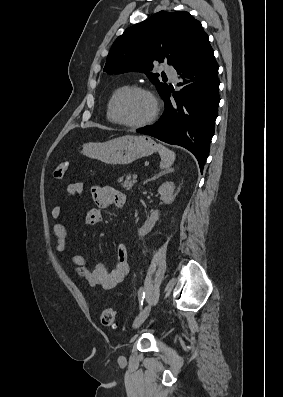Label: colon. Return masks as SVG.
Wrapping results in <instances>:
<instances>
[{
    "label": "colon",
    "mask_w": 283,
    "mask_h": 397,
    "mask_svg": "<svg viewBox=\"0 0 283 397\" xmlns=\"http://www.w3.org/2000/svg\"><path fill=\"white\" fill-rule=\"evenodd\" d=\"M69 167H70L69 162L59 163L53 171V177L55 179H62L69 170ZM101 323L106 327L115 326V311L112 308H106L102 311Z\"/></svg>",
    "instance_id": "1"
}]
</instances>
